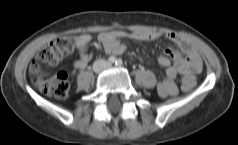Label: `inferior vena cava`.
Wrapping results in <instances>:
<instances>
[{
    "label": "inferior vena cava",
    "mask_w": 238,
    "mask_h": 145,
    "mask_svg": "<svg viewBox=\"0 0 238 145\" xmlns=\"http://www.w3.org/2000/svg\"><path fill=\"white\" fill-rule=\"evenodd\" d=\"M107 64L108 63L105 60H96L93 64V68L95 71H101Z\"/></svg>",
    "instance_id": "1"
}]
</instances>
